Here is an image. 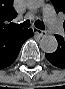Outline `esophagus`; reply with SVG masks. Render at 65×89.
<instances>
[{
  "label": "esophagus",
  "mask_w": 65,
  "mask_h": 89,
  "mask_svg": "<svg viewBox=\"0 0 65 89\" xmlns=\"http://www.w3.org/2000/svg\"><path fill=\"white\" fill-rule=\"evenodd\" d=\"M33 31L36 35H39L40 37H44L46 36V32L45 31H42V30H39L37 28H33Z\"/></svg>",
  "instance_id": "obj_1"
}]
</instances>
